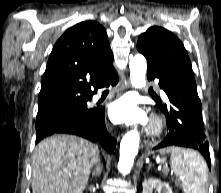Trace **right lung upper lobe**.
<instances>
[{
	"label": "right lung upper lobe",
	"mask_w": 221,
	"mask_h": 193,
	"mask_svg": "<svg viewBox=\"0 0 221 193\" xmlns=\"http://www.w3.org/2000/svg\"><path fill=\"white\" fill-rule=\"evenodd\" d=\"M114 71L105 29L94 21L78 23L53 47L43 75L39 103L62 98H92Z\"/></svg>",
	"instance_id": "1"
}]
</instances>
